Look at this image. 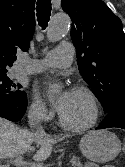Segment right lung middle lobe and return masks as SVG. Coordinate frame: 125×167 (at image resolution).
Wrapping results in <instances>:
<instances>
[{
  "mask_svg": "<svg viewBox=\"0 0 125 167\" xmlns=\"http://www.w3.org/2000/svg\"><path fill=\"white\" fill-rule=\"evenodd\" d=\"M22 88L20 84L13 83L6 75L0 73V95L13 101H20L26 97V94L19 89Z\"/></svg>",
  "mask_w": 125,
  "mask_h": 167,
  "instance_id": "right-lung-middle-lobe-1",
  "label": "right lung middle lobe"
}]
</instances>
